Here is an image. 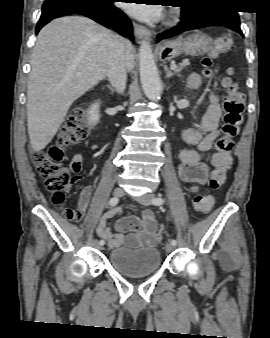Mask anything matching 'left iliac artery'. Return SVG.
Here are the masks:
<instances>
[{
  "label": "left iliac artery",
  "instance_id": "44dca946",
  "mask_svg": "<svg viewBox=\"0 0 270 338\" xmlns=\"http://www.w3.org/2000/svg\"><path fill=\"white\" fill-rule=\"evenodd\" d=\"M152 203H153L154 205H156V206H160V205H162V204L164 203V199L161 198V197H157V198L152 199ZM170 243H171L172 245L175 246L176 243H177V241H176L175 239H172V240L170 241Z\"/></svg>",
  "mask_w": 270,
  "mask_h": 338
}]
</instances>
